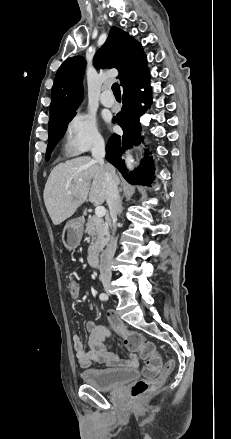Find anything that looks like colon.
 <instances>
[{
	"mask_svg": "<svg viewBox=\"0 0 231 439\" xmlns=\"http://www.w3.org/2000/svg\"><path fill=\"white\" fill-rule=\"evenodd\" d=\"M67 291L72 297L79 293L78 283L69 279L66 283ZM125 345L128 349L136 351L145 360L142 369L143 377L133 383L131 386V396L139 399L158 387L174 368V360L169 359L162 362L160 355L156 352L155 347L134 332L127 331L123 335Z\"/></svg>",
	"mask_w": 231,
	"mask_h": 439,
	"instance_id": "5ec220e1",
	"label": "colon"
}]
</instances>
